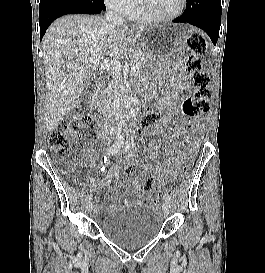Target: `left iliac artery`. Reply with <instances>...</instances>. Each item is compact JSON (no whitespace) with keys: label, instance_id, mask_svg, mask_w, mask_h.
I'll use <instances>...</instances> for the list:
<instances>
[{"label":"left iliac artery","instance_id":"1","mask_svg":"<svg viewBox=\"0 0 265 273\" xmlns=\"http://www.w3.org/2000/svg\"><path fill=\"white\" fill-rule=\"evenodd\" d=\"M164 199L167 200V201H170L171 200V196L168 193H165L164 194Z\"/></svg>","mask_w":265,"mask_h":273}]
</instances>
